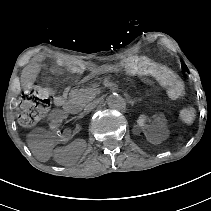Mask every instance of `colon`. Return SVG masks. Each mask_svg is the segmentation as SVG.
I'll return each instance as SVG.
<instances>
[{"mask_svg":"<svg viewBox=\"0 0 211 211\" xmlns=\"http://www.w3.org/2000/svg\"><path fill=\"white\" fill-rule=\"evenodd\" d=\"M114 67L131 75L153 76L166 86L170 95L174 97H182L185 93L180 80L169 69L150 58L132 56L120 61ZM81 68L79 64H66L56 67V70L79 72ZM51 102L52 94L47 89L36 86L28 90L20 100L19 122L25 127L35 125L45 117ZM180 118L184 123L191 124L195 120V111L192 108H185L180 112Z\"/></svg>","mask_w":211,"mask_h":211,"instance_id":"1","label":"colon"}]
</instances>
